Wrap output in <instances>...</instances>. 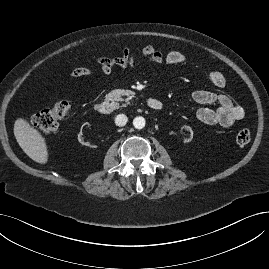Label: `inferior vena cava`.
Wrapping results in <instances>:
<instances>
[{
    "label": "inferior vena cava",
    "mask_w": 269,
    "mask_h": 269,
    "mask_svg": "<svg viewBox=\"0 0 269 269\" xmlns=\"http://www.w3.org/2000/svg\"><path fill=\"white\" fill-rule=\"evenodd\" d=\"M128 121V118L124 114H119L115 118V124L119 127L125 126Z\"/></svg>",
    "instance_id": "602c4592"
}]
</instances>
